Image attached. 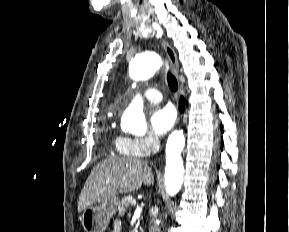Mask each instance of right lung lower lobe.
I'll return each instance as SVG.
<instances>
[{"instance_id":"1","label":"right lung lower lobe","mask_w":289,"mask_h":232,"mask_svg":"<svg viewBox=\"0 0 289 232\" xmlns=\"http://www.w3.org/2000/svg\"><path fill=\"white\" fill-rule=\"evenodd\" d=\"M183 104H184L183 98H181V100H180V110H181V111L183 110Z\"/></svg>"}]
</instances>
